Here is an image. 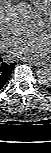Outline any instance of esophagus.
<instances>
[{
  "instance_id": "obj_1",
  "label": "esophagus",
  "mask_w": 51,
  "mask_h": 153,
  "mask_svg": "<svg viewBox=\"0 0 51 153\" xmlns=\"http://www.w3.org/2000/svg\"><path fill=\"white\" fill-rule=\"evenodd\" d=\"M24 62H27L29 65L36 66V67H41L43 65H46L45 62H34V61H28V60H24Z\"/></svg>"
}]
</instances>
